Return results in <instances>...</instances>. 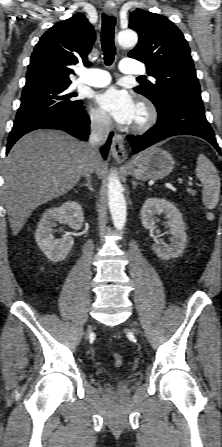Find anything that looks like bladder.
Segmentation results:
<instances>
[{"mask_svg":"<svg viewBox=\"0 0 222 447\" xmlns=\"http://www.w3.org/2000/svg\"><path fill=\"white\" fill-rule=\"evenodd\" d=\"M125 378V374L124 373H116L113 375V379L115 381H121Z\"/></svg>","mask_w":222,"mask_h":447,"instance_id":"obj_1","label":"bladder"}]
</instances>
